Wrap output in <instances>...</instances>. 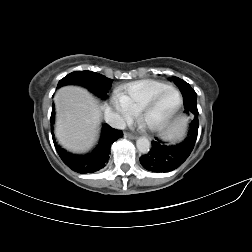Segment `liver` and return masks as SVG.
Segmentation results:
<instances>
[{
  "instance_id": "liver-1",
  "label": "liver",
  "mask_w": 252,
  "mask_h": 252,
  "mask_svg": "<svg viewBox=\"0 0 252 252\" xmlns=\"http://www.w3.org/2000/svg\"><path fill=\"white\" fill-rule=\"evenodd\" d=\"M59 143L73 152H86L96 142L100 109L97 100L84 88L65 86L55 95Z\"/></svg>"
}]
</instances>
